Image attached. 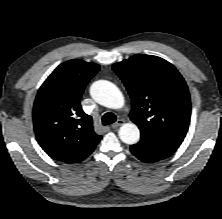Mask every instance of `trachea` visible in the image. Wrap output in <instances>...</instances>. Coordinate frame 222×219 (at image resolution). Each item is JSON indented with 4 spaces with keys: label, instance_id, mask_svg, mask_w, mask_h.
I'll return each instance as SVG.
<instances>
[{
    "label": "trachea",
    "instance_id": "trachea-1",
    "mask_svg": "<svg viewBox=\"0 0 222 219\" xmlns=\"http://www.w3.org/2000/svg\"><path fill=\"white\" fill-rule=\"evenodd\" d=\"M116 121V116L112 112H107L102 117V124L103 125H110Z\"/></svg>",
    "mask_w": 222,
    "mask_h": 219
}]
</instances>
